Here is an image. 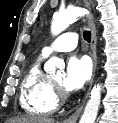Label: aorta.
<instances>
[{
  "label": "aorta",
  "instance_id": "1",
  "mask_svg": "<svg viewBox=\"0 0 118 123\" xmlns=\"http://www.w3.org/2000/svg\"><path fill=\"white\" fill-rule=\"evenodd\" d=\"M87 10L80 7L71 6L66 10L59 12L53 16L51 24V33L58 35L64 31L72 22L78 17L87 14ZM64 62L57 57H51L44 66L46 72L51 73L56 68L62 69ZM101 102V85H95L86 103L83 114L80 118L79 123H94L98 114L99 106Z\"/></svg>",
  "mask_w": 118,
  "mask_h": 123
}]
</instances>
